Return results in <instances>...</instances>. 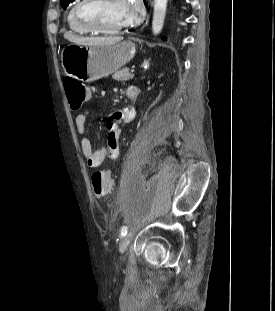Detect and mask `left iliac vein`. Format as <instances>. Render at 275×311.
Segmentation results:
<instances>
[{
	"label": "left iliac vein",
	"instance_id": "left-iliac-vein-1",
	"mask_svg": "<svg viewBox=\"0 0 275 311\" xmlns=\"http://www.w3.org/2000/svg\"><path fill=\"white\" fill-rule=\"evenodd\" d=\"M131 237H132L131 234H127V235L122 237L120 244H119V251L121 254H123L126 251L128 245L130 243Z\"/></svg>",
	"mask_w": 275,
	"mask_h": 311
}]
</instances>
